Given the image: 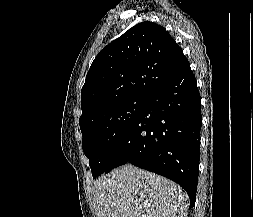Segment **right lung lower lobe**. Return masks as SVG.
<instances>
[{
  "label": "right lung lower lobe",
  "mask_w": 253,
  "mask_h": 217,
  "mask_svg": "<svg viewBox=\"0 0 253 217\" xmlns=\"http://www.w3.org/2000/svg\"><path fill=\"white\" fill-rule=\"evenodd\" d=\"M201 99L187 61L147 97L142 112L115 149L108 169L126 163L180 184L196 200L200 158Z\"/></svg>",
  "instance_id": "98d812e1"
}]
</instances>
